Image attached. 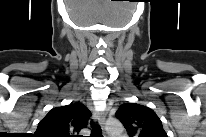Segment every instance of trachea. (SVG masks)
Masks as SVG:
<instances>
[{
    "instance_id": "obj_1",
    "label": "trachea",
    "mask_w": 206,
    "mask_h": 137,
    "mask_svg": "<svg viewBox=\"0 0 206 137\" xmlns=\"http://www.w3.org/2000/svg\"><path fill=\"white\" fill-rule=\"evenodd\" d=\"M91 126H92V132L90 137H103L101 134V129L97 124L91 122Z\"/></svg>"
}]
</instances>
